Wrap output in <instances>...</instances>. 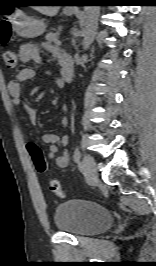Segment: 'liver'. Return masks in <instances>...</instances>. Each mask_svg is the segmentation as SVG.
<instances>
[{"label":"liver","instance_id":"obj_1","mask_svg":"<svg viewBox=\"0 0 156 266\" xmlns=\"http://www.w3.org/2000/svg\"><path fill=\"white\" fill-rule=\"evenodd\" d=\"M34 9L43 15L53 17L57 15L59 6H35Z\"/></svg>","mask_w":156,"mask_h":266}]
</instances>
